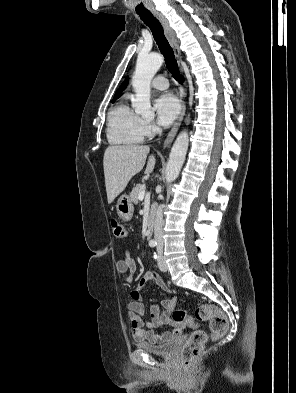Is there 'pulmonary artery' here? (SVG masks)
Segmentation results:
<instances>
[{"label": "pulmonary artery", "instance_id": "1", "mask_svg": "<svg viewBox=\"0 0 296 393\" xmlns=\"http://www.w3.org/2000/svg\"><path fill=\"white\" fill-rule=\"evenodd\" d=\"M152 87L156 90H166L169 87L168 79L164 76H157L152 81Z\"/></svg>", "mask_w": 296, "mask_h": 393}]
</instances>
